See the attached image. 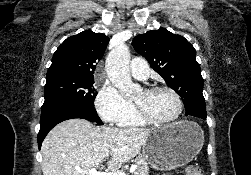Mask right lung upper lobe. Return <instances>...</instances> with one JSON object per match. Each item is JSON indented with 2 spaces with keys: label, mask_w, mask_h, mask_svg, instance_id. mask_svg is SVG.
<instances>
[{
  "label": "right lung upper lobe",
  "mask_w": 251,
  "mask_h": 175,
  "mask_svg": "<svg viewBox=\"0 0 251 175\" xmlns=\"http://www.w3.org/2000/svg\"><path fill=\"white\" fill-rule=\"evenodd\" d=\"M108 43L105 34L91 30L67 38L55 51L47 77L94 79L96 64L103 57Z\"/></svg>",
  "instance_id": "obj_1"
}]
</instances>
